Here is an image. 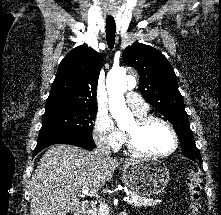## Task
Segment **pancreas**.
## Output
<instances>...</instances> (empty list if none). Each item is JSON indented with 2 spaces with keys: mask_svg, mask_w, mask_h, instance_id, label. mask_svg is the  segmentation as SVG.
I'll list each match as a JSON object with an SVG mask.
<instances>
[{
  "mask_svg": "<svg viewBox=\"0 0 221 215\" xmlns=\"http://www.w3.org/2000/svg\"><path fill=\"white\" fill-rule=\"evenodd\" d=\"M131 197H137L128 201V204L134 205L136 207H152L161 202L159 199L144 198L138 195L131 194ZM98 215H108V206L107 204L101 203L98 211Z\"/></svg>",
  "mask_w": 221,
  "mask_h": 215,
  "instance_id": "1",
  "label": "pancreas"
}]
</instances>
